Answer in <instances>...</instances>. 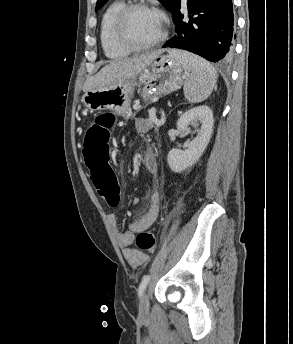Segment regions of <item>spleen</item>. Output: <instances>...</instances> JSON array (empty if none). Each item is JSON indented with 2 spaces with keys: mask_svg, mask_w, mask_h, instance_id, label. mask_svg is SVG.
<instances>
[{
  "mask_svg": "<svg viewBox=\"0 0 293 344\" xmlns=\"http://www.w3.org/2000/svg\"><path fill=\"white\" fill-rule=\"evenodd\" d=\"M170 53L178 59L188 75L184 84V94L190 103L202 102L212 93L217 82V71L205 59L180 50Z\"/></svg>",
  "mask_w": 293,
  "mask_h": 344,
  "instance_id": "obj_1",
  "label": "spleen"
}]
</instances>
